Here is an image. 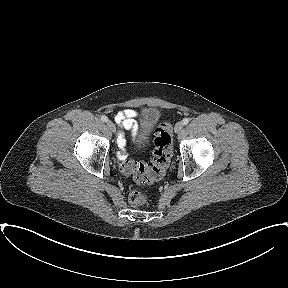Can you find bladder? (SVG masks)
I'll return each mask as SVG.
<instances>
[{
	"mask_svg": "<svg viewBox=\"0 0 288 288\" xmlns=\"http://www.w3.org/2000/svg\"><path fill=\"white\" fill-rule=\"evenodd\" d=\"M160 117L161 112L157 108L149 107L142 111L140 127L136 137L141 146H146L149 143L151 132L158 124Z\"/></svg>",
	"mask_w": 288,
	"mask_h": 288,
	"instance_id": "31cf9c89",
	"label": "bladder"
}]
</instances>
